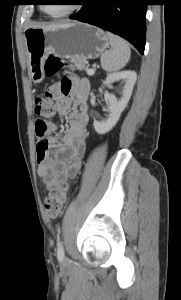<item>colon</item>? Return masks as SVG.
I'll return each instance as SVG.
<instances>
[{
	"label": "colon",
	"instance_id": "1",
	"mask_svg": "<svg viewBox=\"0 0 181 300\" xmlns=\"http://www.w3.org/2000/svg\"><path fill=\"white\" fill-rule=\"evenodd\" d=\"M65 60L56 56H49L44 66L46 77H54L62 70L69 68ZM55 106L49 96H43L36 100L35 113L42 116L44 119L37 120L35 123V132L38 141H44L48 134V120L55 116ZM71 187L68 183H62L58 188L51 190L48 197L45 199L44 208L46 213L51 218H57L61 215L62 207L68 199Z\"/></svg>",
	"mask_w": 181,
	"mask_h": 300
}]
</instances>
